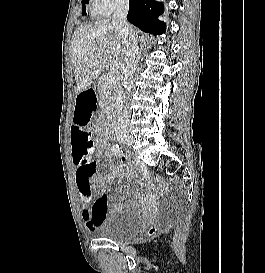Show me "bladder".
<instances>
[{
	"label": "bladder",
	"instance_id": "obj_1",
	"mask_svg": "<svg viewBox=\"0 0 265 273\" xmlns=\"http://www.w3.org/2000/svg\"><path fill=\"white\" fill-rule=\"evenodd\" d=\"M140 228V217L135 212H114L106 215L94 228L93 233L102 239L115 242L134 237Z\"/></svg>",
	"mask_w": 265,
	"mask_h": 273
}]
</instances>
